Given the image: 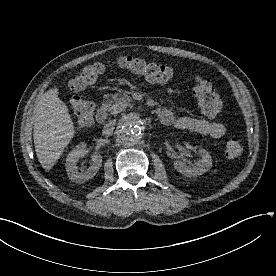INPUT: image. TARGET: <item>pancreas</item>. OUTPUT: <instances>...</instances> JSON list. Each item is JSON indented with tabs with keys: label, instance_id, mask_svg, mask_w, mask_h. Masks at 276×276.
Masks as SVG:
<instances>
[{
	"label": "pancreas",
	"instance_id": "1",
	"mask_svg": "<svg viewBox=\"0 0 276 276\" xmlns=\"http://www.w3.org/2000/svg\"><path fill=\"white\" fill-rule=\"evenodd\" d=\"M132 98L125 93H116L112 99L107 100V109L111 114L116 115L122 112L127 107H131Z\"/></svg>",
	"mask_w": 276,
	"mask_h": 276
}]
</instances>
